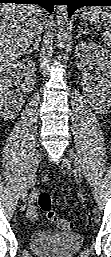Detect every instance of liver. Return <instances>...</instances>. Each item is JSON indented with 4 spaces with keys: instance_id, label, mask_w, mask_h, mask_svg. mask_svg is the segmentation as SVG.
Segmentation results:
<instances>
[{
    "instance_id": "1",
    "label": "liver",
    "mask_w": 111,
    "mask_h": 257,
    "mask_svg": "<svg viewBox=\"0 0 111 257\" xmlns=\"http://www.w3.org/2000/svg\"><path fill=\"white\" fill-rule=\"evenodd\" d=\"M46 22L47 13L35 5H0L1 68L9 66L26 53L35 32Z\"/></svg>"
}]
</instances>
